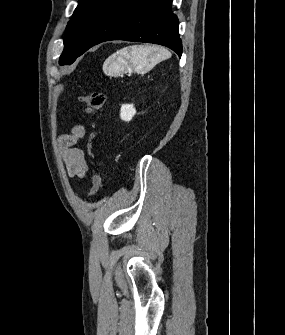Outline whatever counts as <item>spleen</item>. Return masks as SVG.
I'll use <instances>...</instances> for the list:
<instances>
[{"mask_svg": "<svg viewBox=\"0 0 285 335\" xmlns=\"http://www.w3.org/2000/svg\"><path fill=\"white\" fill-rule=\"evenodd\" d=\"M115 58L116 62H114L112 70L127 66L126 58H130L134 70H151L153 66H156L162 60L171 58V52H168L166 48H159V46H129V48L119 50L115 54Z\"/></svg>", "mask_w": 285, "mask_h": 335, "instance_id": "obj_1", "label": "spleen"}]
</instances>
